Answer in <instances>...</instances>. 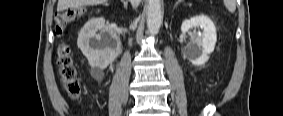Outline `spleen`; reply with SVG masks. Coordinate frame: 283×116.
<instances>
[{
	"instance_id": "obj_1",
	"label": "spleen",
	"mask_w": 283,
	"mask_h": 116,
	"mask_svg": "<svg viewBox=\"0 0 283 116\" xmlns=\"http://www.w3.org/2000/svg\"><path fill=\"white\" fill-rule=\"evenodd\" d=\"M224 5L230 13H233L236 10L235 0H224Z\"/></svg>"
}]
</instances>
